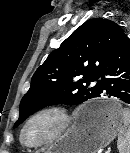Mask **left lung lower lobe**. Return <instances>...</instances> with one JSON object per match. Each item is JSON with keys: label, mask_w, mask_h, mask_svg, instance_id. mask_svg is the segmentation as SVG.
Listing matches in <instances>:
<instances>
[{"label": "left lung lower lobe", "mask_w": 130, "mask_h": 153, "mask_svg": "<svg viewBox=\"0 0 130 153\" xmlns=\"http://www.w3.org/2000/svg\"><path fill=\"white\" fill-rule=\"evenodd\" d=\"M99 78V97L114 96L130 104V41L124 32L112 48ZM94 114V111L86 110L81 113V117L87 118Z\"/></svg>", "instance_id": "0a47b994"}]
</instances>
